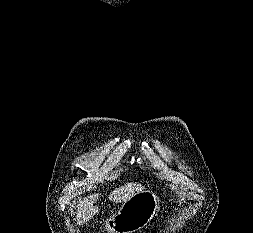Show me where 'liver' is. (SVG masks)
Listing matches in <instances>:
<instances>
[{"instance_id":"obj_1","label":"liver","mask_w":253,"mask_h":233,"mask_svg":"<svg viewBox=\"0 0 253 233\" xmlns=\"http://www.w3.org/2000/svg\"><path fill=\"white\" fill-rule=\"evenodd\" d=\"M143 189L144 186L142 184L130 182L125 186H121L112 191L108 198L110 201L116 203L125 202ZM98 197L99 194H92L80 202L76 213V220L79 225L88 222L95 214L99 212V208L94 206Z\"/></svg>"}]
</instances>
